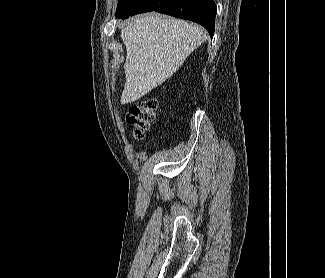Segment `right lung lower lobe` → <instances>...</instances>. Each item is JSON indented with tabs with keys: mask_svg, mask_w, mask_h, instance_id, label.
I'll use <instances>...</instances> for the list:
<instances>
[{
	"mask_svg": "<svg viewBox=\"0 0 325 278\" xmlns=\"http://www.w3.org/2000/svg\"><path fill=\"white\" fill-rule=\"evenodd\" d=\"M157 11L202 25L212 37L216 17L214 0H135L134 10L126 16Z\"/></svg>",
	"mask_w": 325,
	"mask_h": 278,
	"instance_id": "1",
	"label": "right lung lower lobe"
}]
</instances>
